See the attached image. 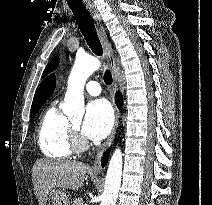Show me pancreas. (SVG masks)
Returning <instances> with one entry per match:
<instances>
[{"label": "pancreas", "instance_id": "obj_1", "mask_svg": "<svg viewBox=\"0 0 212 205\" xmlns=\"http://www.w3.org/2000/svg\"><path fill=\"white\" fill-rule=\"evenodd\" d=\"M72 205H83V200L81 198H77L74 200Z\"/></svg>", "mask_w": 212, "mask_h": 205}]
</instances>
